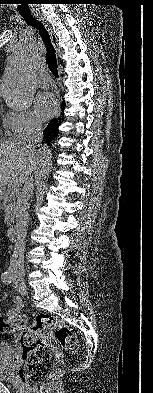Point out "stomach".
Listing matches in <instances>:
<instances>
[{
	"instance_id": "1",
	"label": "stomach",
	"mask_w": 153,
	"mask_h": 393,
	"mask_svg": "<svg viewBox=\"0 0 153 393\" xmlns=\"http://www.w3.org/2000/svg\"><path fill=\"white\" fill-rule=\"evenodd\" d=\"M3 191H0V200L2 199Z\"/></svg>"
}]
</instances>
